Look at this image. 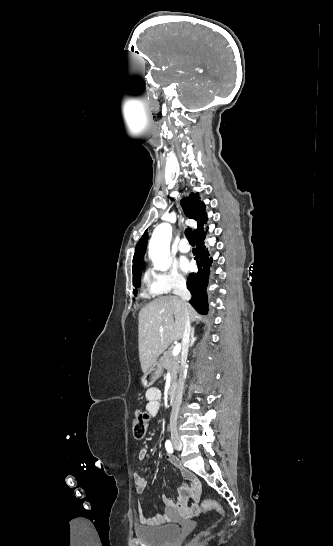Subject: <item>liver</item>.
<instances>
[{
  "mask_svg": "<svg viewBox=\"0 0 333 546\" xmlns=\"http://www.w3.org/2000/svg\"><path fill=\"white\" fill-rule=\"evenodd\" d=\"M190 320L198 318L197 312L187 305ZM185 302L175 296L159 297L143 307L138 316V348L142 372L173 342L182 339L184 331Z\"/></svg>",
  "mask_w": 333,
  "mask_h": 546,
  "instance_id": "liver-1",
  "label": "liver"
}]
</instances>
